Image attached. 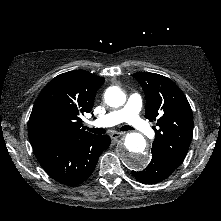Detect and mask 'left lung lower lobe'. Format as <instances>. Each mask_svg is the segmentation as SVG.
<instances>
[{"label":"left lung lower lobe","mask_w":221,"mask_h":221,"mask_svg":"<svg viewBox=\"0 0 221 221\" xmlns=\"http://www.w3.org/2000/svg\"><path fill=\"white\" fill-rule=\"evenodd\" d=\"M174 170L158 153L152 152V159L147 168L132 173L139 182L152 184L166 179Z\"/></svg>","instance_id":"obj_1"}]
</instances>
